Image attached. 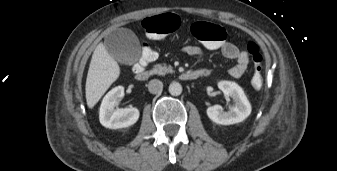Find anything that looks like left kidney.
I'll list each match as a JSON object with an SVG mask.
<instances>
[{
	"mask_svg": "<svg viewBox=\"0 0 337 171\" xmlns=\"http://www.w3.org/2000/svg\"><path fill=\"white\" fill-rule=\"evenodd\" d=\"M218 87L225 95L233 99L234 106L230 107L227 112L223 111L220 105L210 106L207 108L208 117L221 125H231L245 120L251 113V105L243 89L230 81H220Z\"/></svg>",
	"mask_w": 337,
	"mask_h": 171,
	"instance_id": "left-kidney-1",
	"label": "left kidney"
}]
</instances>
